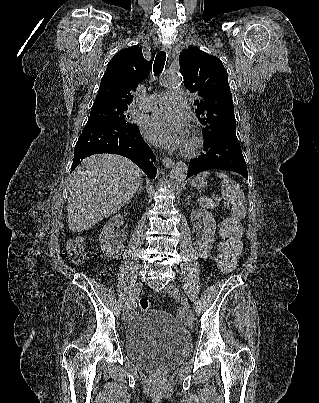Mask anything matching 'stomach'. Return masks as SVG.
Instances as JSON below:
<instances>
[{
	"instance_id": "1",
	"label": "stomach",
	"mask_w": 319,
	"mask_h": 403,
	"mask_svg": "<svg viewBox=\"0 0 319 403\" xmlns=\"http://www.w3.org/2000/svg\"><path fill=\"white\" fill-rule=\"evenodd\" d=\"M191 185L194 188L201 189V188H204L207 185V181L205 180V178L195 177V178H193L191 180Z\"/></svg>"
}]
</instances>
